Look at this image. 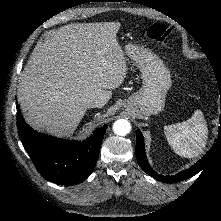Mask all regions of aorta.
Segmentation results:
<instances>
[{
  "label": "aorta",
  "instance_id": "aorta-1",
  "mask_svg": "<svg viewBox=\"0 0 221 221\" xmlns=\"http://www.w3.org/2000/svg\"><path fill=\"white\" fill-rule=\"evenodd\" d=\"M113 130L115 134L119 136H125L127 135L131 130V125L129 121L125 119H119L117 120L113 125Z\"/></svg>",
  "mask_w": 221,
  "mask_h": 221
}]
</instances>
